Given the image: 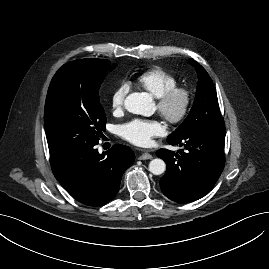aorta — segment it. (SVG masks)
Returning a JSON list of instances; mask_svg holds the SVG:
<instances>
[{"label":"aorta","instance_id":"762f6f07","mask_svg":"<svg viewBox=\"0 0 269 269\" xmlns=\"http://www.w3.org/2000/svg\"><path fill=\"white\" fill-rule=\"evenodd\" d=\"M127 111L133 114L150 116L153 113L152 96L148 93H131L124 102ZM166 170L165 162L156 158L150 161L149 171L154 175H161Z\"/></svg>","mask_w":269,"mask_h":269}]
</instances>
